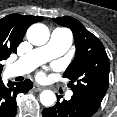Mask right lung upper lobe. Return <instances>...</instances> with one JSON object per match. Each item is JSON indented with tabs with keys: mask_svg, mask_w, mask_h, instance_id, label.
Returning a JSON list of instances; mask_svg holds the SVG:
<instances>
[{
	"mask_svg": "<svg viewBox=\"0 0 117 117\" xmlns=\"http://www.w3.org/2000/svg\"><path fill=\"white\" fill-rule=\"evenodd\" d=\"M42 19L43 17L39 16L20 14H10L0 19V61L7 59L11 53H16L28 27ZM2 68L3 65L0 63V74Z\"/></svg>",
	"mask_w": 117,
	"mask_h": 117,
	"instance_id": "cb5924a9",
	"label": "right lung upper lobe"
}]
</instances>
